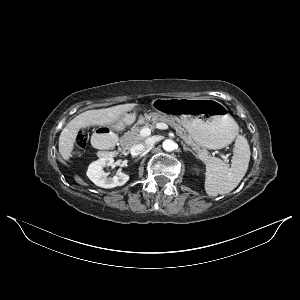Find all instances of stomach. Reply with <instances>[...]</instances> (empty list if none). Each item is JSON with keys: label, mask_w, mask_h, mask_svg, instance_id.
I'll return each instance as SVG.
<instances>
[{"label": "stomach", "mask_w": 300, "mask_h": 300, "mask_svg": "<svg viewBox=\"0 0 300 300\" xmlns=\"http://www.w3.org/2000/svg\"><path fill=\"white\" fill-rule=\"evenodd\" d=\"M156 112L149 114L176 118L200 146L221 149L229 145L238 133V126L227 108L214 99L172 98L154 102ZM136 109L124 113L114 124L116 130L135 121Z\"/></svg>", "instance_id": "1"}]
</instances>
